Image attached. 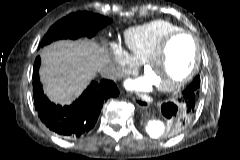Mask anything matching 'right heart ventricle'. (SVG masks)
I'll list each match as a JSON object with an SVG mask.
<instances>
[{
    "mask_svg": "<svg viewBox=\"0 0 240 160\" xmlns=\"http://www.w3.org/2000/svg\"><path fill=\"white\" fill-rule=\"evenodd\" d=\"M178 30H181L179 26L166 20L132 27L124 33L127 53L136 63H144L164 37Z\"/></svg>",
    "mask_w": 240,
    "mask_h": 160,
    "instance_id": "1",
    "label": "right heart ventricle"
}]
</instances>
